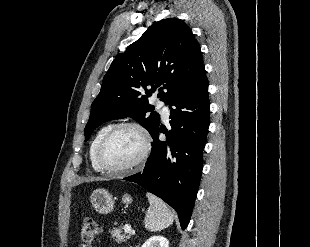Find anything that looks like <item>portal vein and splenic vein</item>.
Instances as JSON below:
<instances>
[{"instance_id":"18ae733b","label":"portal vein and splenic vein","mask_w":310,"mask_h":247,"mask_svg":"<svg viewBox=\"0 0 310 247\" xmlns=\"http://www.w3.org/2000/svg\"><path fill=\"white\" fill-rule=\"evenodd\" d=\"M124 231H125V232H132V233H135V231L132 230V229H131V226L128 225V224H126V225L124 226Z\"/></svg>"}]
</instances>
